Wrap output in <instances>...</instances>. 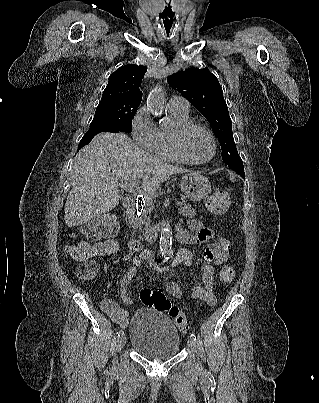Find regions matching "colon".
Instances as JSON below:
<instances>
[{
	"instance_id": "1",
	"label": "colon",
	"mask_w": 319,
	"mask_h": 403,
	"mask_svg": "<svg viewBox=\"0 0 319 403\" xmlns=\"http://www.w3.org/2000/svg\"><path fill=\"white\" fill-rule=\"evenodd\" d=\"M228 203V195L223 191H218L207 198L206 207L212 214L221 215L226 210ZM217 227L222 229L224 224L219 222ZM117 230L116 217L112 214H106L87 226L85 235L89 245L78 242L77 236L74 234L68 236L65 249L79 261L77 275L82 281L92 282L97 277L98 264L93 259L95 254H107L108 258L118 257L119 241L118 239H111ZM234 277L235 270L231 266H225L221 269L220 281L222 284L231 283ZM140 299L146 307L168 314L180 332L185 333L188 330L189 323L185 314L167 298L163 290L143 289L140 292Z\"/></svg>"
}]
</instances>
